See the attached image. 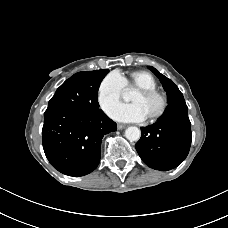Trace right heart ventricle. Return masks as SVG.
Returning <instances> with one entry per match:
<instances>
[{"instance_id": "right-heart-ventricle-1", "label": "right heart ventricle", "mask_w": 228, "mask_h": 228, "mask_svg": "<svg viewBox=\"0 0 228 228\" xmlns=\"http://www.w3.org/2000/svg\"><path fill=\"white\" fill-rule=\"evenodd\" d=\"M119 74V73H118ZM124 87L126 88H151L156 89L157 88V81L153 77L152 74H150L147 71L144 70H135L131 71L127 74H119Z\"/></svg>"}]
</instances>
